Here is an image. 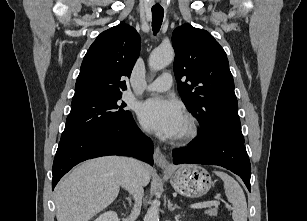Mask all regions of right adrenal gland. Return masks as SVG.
Returning a JSON list of instances; mask_svg holds the SVG:
<instances>
[{"instance_id": "right-adrenal-gland-1", "label": "right adrenal gland", "mask_w": 307, "mask_h": 221, "mask_svg": "<svg viewBox=\"0 0 307 221\" xmlns=\"http://www.w3.org/2000/svg\"><path fill=\"white\" fill-rule=\"evenodd\" d=\"M126 200L128 201L129 204L132 203V200H131V197H130V196L126 197Z\"/></svg>"}]
</instances>
